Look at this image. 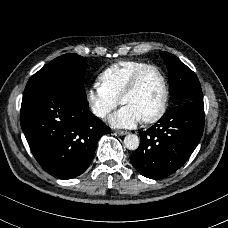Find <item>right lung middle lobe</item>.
<instances>
[{
  "label": "right lung middle lobe",
  "mask_w": 228,
  "mask_h": 228,
  "mask_svg": "<svg viewBox=\"0 0 228 228\" xmlns=\"http://www.w3.org/2000/svg\"><path fill=\"white\" fill-rule=\"evenodd\" d=\"M86 67L84 57L76 54L62 55L35 73L29 79L25 90L40 86H58L86 99L83 86Z\"/></svg>",
  "instance_id": "1"
}]
</instances>
